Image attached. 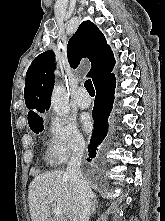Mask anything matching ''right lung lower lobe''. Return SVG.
<instances>
[{"label":"right lung lower lobe","instance_id":"98d812e1","mask_svg":"<svg viewBox=\"0 0 165 221\" xmlns=\"http://www.w3.org/2000/svg\"><path fill=\"white\" fill-rule=\"evenodd\" d=\"M115 85L116 79L112 74L95 86L97 93L93 108L94 130L88 146L90 156L88 161L96 156V152L101 148L107 135L108 117L113 107Z\"/></svg>","mask_w":165,"mask_h":221}]
</instances>
